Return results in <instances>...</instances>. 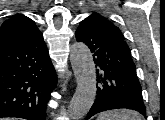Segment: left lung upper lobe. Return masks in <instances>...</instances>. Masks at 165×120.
Listing matches in <instances>:
<instances>
[{"instance_id":"1","label":"left lung upper lobe","mask_w":165,"mask_h":120,"mask_svg":"<svg viewBox=\"0 0 165 120\" xmlns=\"http://www.w3.org/2000/svg\"><path fill=\"white\" fill-rule=\"evenodd\" d=\"M90 17L95 19L101 29H103L105 32L123 39V35L120 29L113 25L106 18L102 17L101 15H98L97 13L92 14Z\"/></svg>"}]
</instances>
